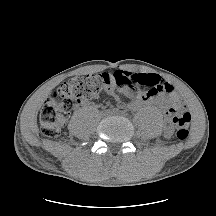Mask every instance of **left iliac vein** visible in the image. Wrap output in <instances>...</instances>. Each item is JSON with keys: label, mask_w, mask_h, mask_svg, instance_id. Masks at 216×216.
Instances as JSON below:
<instances>
[{"label": "left iliac vein", "mask_w": 216, "mask_h": 216, "mask_svg": "<svg viewBox=\"0 0 216 216\" xmlns=\"http://www.w3.org/2000/svg\"><path fill=\"white\" fill-rule=\"evenodd\" d=\"M114 115H119V113H115Z\"/></svg>", "instance_id": "1"}]
</instances>
